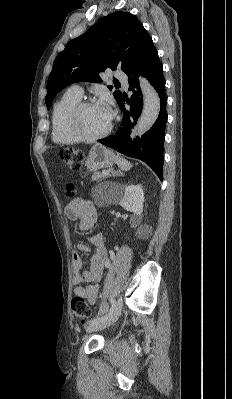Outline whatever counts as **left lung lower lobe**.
I'll use <instances>...</instances> for the list:
<instances>
[{"mask_svg":"<svg viewBox=\"0 0 232 399\" xmlns=\"http://www.w3.org/2000/svg\"><path fill=\"white\" fill-rule=\"evenodd\" d=\"M128 75L129 90L133 92L130 99L125 96L118 102L123 119L118 131L98 142L126 155L137 158L147 163L158 177L163 180V149L165 139V126L167 122V96L165 93V79L163 77V66L159 60L157 50L153 41L150 40L139 52L132 68L126 73ZM143 74L151 85L156 89L160 98V113L151 129L141 138L130 140L129 135L137 123L142 109V92L139 87L138 77ZM125 102L130 108H125Z\"/></svg>","mask_w":232,"mask_h":399,"instance_id":"1","label":"left lung lower lobe"}]
</instances>
